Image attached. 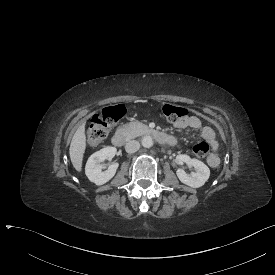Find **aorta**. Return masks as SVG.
Masks as SVG:
<instances>
[{
	"label": "aorta",
	"instance_id": "aorta-1",
	"mask_svg": "<svg viewBox=\"0 0 275 275\" xmlns=\"http://www.w3.org/2000/svg\"><path fill=\"white\" fill-rule=\"evenodd\" d=\"M142 146L145 148H150L153 146V139L151 136H144L142 139Z\"/></svg>",
	"mask_w": 275,
	"mask_h": 275
}]
</instances>
